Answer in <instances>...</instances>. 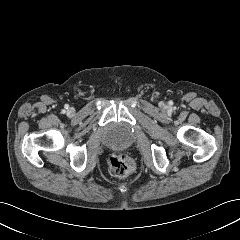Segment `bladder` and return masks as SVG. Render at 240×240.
I'll use <instances>...</instances> for the list:
<instances>
[{"label": "bladder", "mask_w": 240, "mask_h": 240, "mask_svg": "<svg viewBox=\"0 0 240 240\" xmlns=\"http://www.w3.org/2000/svg\"><path fill=\"white\" fill-rule=\"evenodd\" d=\"M134 142L130 130L119 123H112L106 128L104 144L111 149H123Z\"/></svg>", "instance_id": "bladder-1"}]
</instances>
